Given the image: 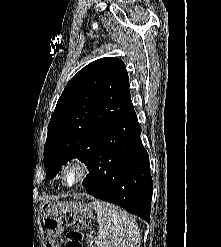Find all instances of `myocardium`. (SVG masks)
<instances>
[{
    "mask_svg": "<svg viewBox=\"0 0 221 247\" xmlns=\"http://www.w3.org/2000/svg\"><path fill=\"white\" fill-rule=\"evenodd\" d=\"M88 172V165L85 160L82 158H73L66 163L62 171V182L69 187L77 186L86 179ZM71 173H74L76 178L70 182L68 177Z\"/></svg>",
    "mask_w": 221,
    "mask_h": 247,
    "instance_id": "obj_1",
    "label": "myocardium"
}]
</instances>
